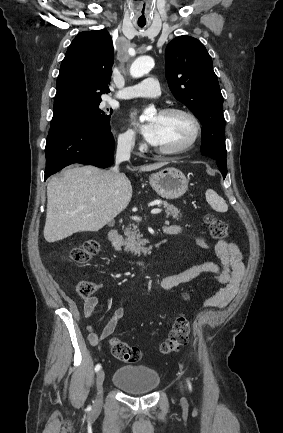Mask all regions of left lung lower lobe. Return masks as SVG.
Listing matches in <instances>:
<instances>
[{
  "instance_id": "0a47b994",
  "label": "left lung lower lobe",
  "mask_w": 283,
  "mask_h": 433,
  "mask_svg": "<svg viewBox=\"0 0 283 433\" xmlns=\"http://www.w3.org/2000/svg\"><path fill=\"white\" fill-rule=\"evenodd\" d=\"M212 131L214 130H210V132ZM201 153L202 155L209 156L217 161V166L219 167L223 178H225L227 174L225 139L220 138L217 133H203Z\"/></svg>"
}]
</instances>
